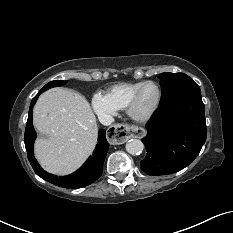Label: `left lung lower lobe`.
Masks as SVG:
<instances>
[{
	"mask_svg": "<svg viewBox=\"0 0 233 233\" xmlns=\"http://www.w3.org/2000/svg\"><path fill=\"white\" fill-rule=\"evenodd\" d=\"M146 128L142 142L147 154L141 170L151 176L182 170L193 162L206 141L201 92L187 93L160 105Z\"/></svg>",
	"mask_w": 233,
	"mask_h": 233,
	"instance_id": "1",
	"label": "left lung lower lobe"
}]
</instances>
